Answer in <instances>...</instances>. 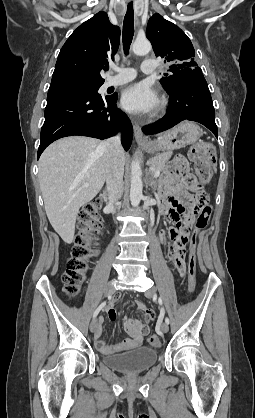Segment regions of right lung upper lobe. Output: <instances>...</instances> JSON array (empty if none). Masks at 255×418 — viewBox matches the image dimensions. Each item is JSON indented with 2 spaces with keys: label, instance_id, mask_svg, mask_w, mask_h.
I'll list each match as a JSON object with an SVG mask.
<instances>
[{
  "label": "right lung upper lobe",
  "instance_id": "right-lung-upper-lobe-1",
  "mask_svg": "<svg viewBox=\"0 0 255 418\" xmlns=\"http://www.w3.org/2000/svg\"><path fill=\"white\" fill-rule=\"evenodd\" d=\"M120 29L103 11L81 24L63 45L53 72L50 88L71 84L104 83L101 69L114 59Z\"/></svg>",
  "mask_w": 255,
  "mask_h": 418
}]
</instances>
